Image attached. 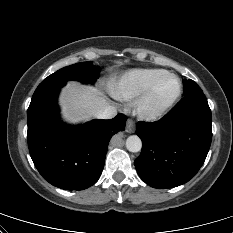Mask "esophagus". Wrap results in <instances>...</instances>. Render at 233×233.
Wrapping results in <instances>:
<instances>
[{"instance_id": "obj_1", "label": "esophagus", "mask_w": 233, "mask_h": 233, "mask_svg": "<svg viewBox=\"0 0 233 233\" xmlns=\"http://www.w3.org/2000/svg\"><path fill=\"white\" fill-rule=\"evenodd\" d=\"M126 131L133 133L135 131V122L132 119H128L126 122Z\"/></svg>"}]
</instances>
